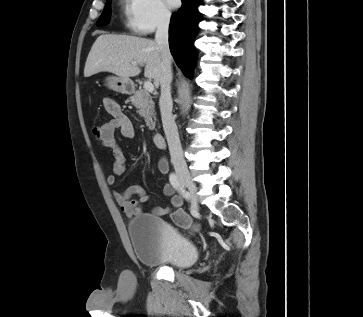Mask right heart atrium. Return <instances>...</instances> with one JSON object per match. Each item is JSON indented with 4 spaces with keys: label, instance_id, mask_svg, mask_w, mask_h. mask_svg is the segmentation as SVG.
Segmentation results:
<instances>
[{
    "label": "right heart atrium",
    "instance_id": "d8ad5b80",
    "mask_svg": "<svg viewBox=\"0 0 363 317\" xmlns=\"http://www.w3.org/2000/svg\"><path fill=\"white\" fill-rule=\"evenodd\" d=\"M126 18L132 31L147 35L168 26L171 12L164 0H127Z\"/></svg>",
    "mask_w": 363,
    "mask_h": 317
}]
</instances>
